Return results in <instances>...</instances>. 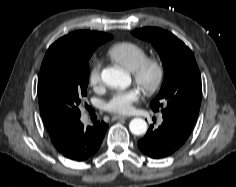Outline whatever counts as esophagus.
<instances>
[{"label": "esophagus", "instance_id": "esophagus-1", "mask_svg": "<svg viewBox=\"0 0 236 187\" xmlns=\"http://www.w3.org/2000/svg\"><path fill=\"white\" fill-rule=\"evenodd\" d=\"M128 117L126 116H121V115H115L112 117V120L115 121V120H125L127 119Z\"/></svg>", "mask_w": 236, "mask_h": 187}]
</instances>
